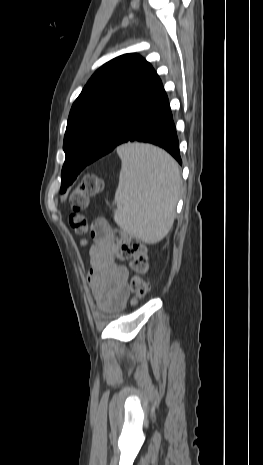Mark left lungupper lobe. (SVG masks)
Instances as JSON below:
<instances>
[{
    "label": "left lung upper lobe",
    "instance_id": "1",
    "mask_svg": "<svg viewBox=\"0 0 263 465\" xmlns=\"http://www.w3.org/2000/svg\"><path fill=\"white\" fill-rule=\"evenodd\" d=\"M152 69L144 58L130 53L112 59L92 75L69 114L63 144L66 158L86 161L91 157L118 110L136 96ZM84 167L77 168V175ZM69 185L62 175L61 192Z\"/></svg>",
    "mask_w": 263,
    "mask_h": 465
}]
</instances>
